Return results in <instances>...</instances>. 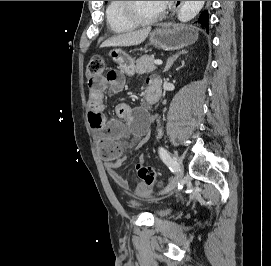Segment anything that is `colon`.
Masks as SVG:
<instances>
[{
    "mask_svg": "<svg viewBox=\"0 0 271 266\" xmlns=\"http://www.w3.org/2000/svg\"><path fill=\"white\" fill-rule=\"evenodd\" d=\"M105 68L104 61L100 56H93L90 58L87 69V77H95L101 75ZM136 173L138 178L147 185H152L157 182V173L156 171L143 163H138L136 165Z\"/></svg>",
    "mask_w": 271,
    "mask_h": 266,
    "instance_id": "1",
    "label": "colon"
}]
</instances>
